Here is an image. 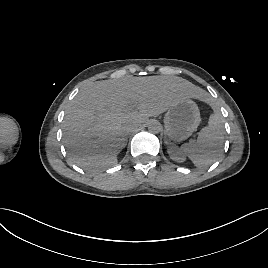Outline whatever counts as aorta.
<instances>
[{
  "label": "aorta",
  "mask_w": 268,
  "mask_h": 268,
  "mask_svg": "<svg viewBox=\"0 0 268 268\" xmlns=\"http://www.w3.org/2000/svg\"><path fill=\"white\" fill-rule=\"evenodd\" d=\"M148 131L150 133H160L162 131V125L158 120H151L148 123Z\"/></svg>",
  "instance_id": "obj_1"
}]
</instances>
